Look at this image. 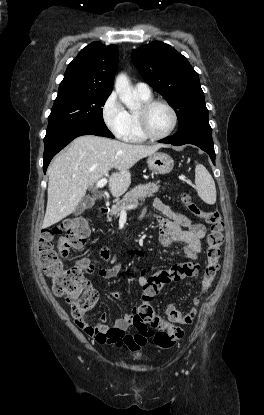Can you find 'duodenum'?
Listing matches in <instances>:
<instances>
[{
  "mask_svg": "<svg viewBox=\"0 0 264 415\" xmlns=\"http://www.w3.org/2000/svg\"><path fill=\"white\" fill-rule=\"evenodd\" d=\"M105 212H106V209H105V208H96V209H95V213H96V215H98V216L103 215ZM101 255H102V257L107 258V257H108V255H109L108 250H107V249H103V250L101 251Z\"/></svg>",
  "mask_w": 264,
  "mask_h": 415,
  "instance_id": "duodenum-1",
  "label": "duodenum"
}]
</instances>
